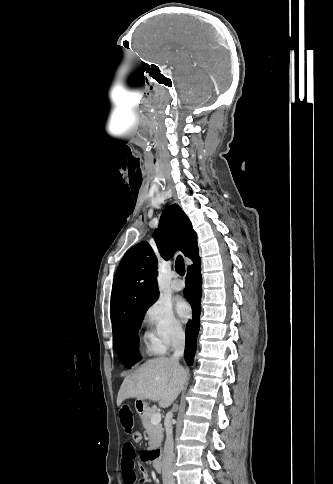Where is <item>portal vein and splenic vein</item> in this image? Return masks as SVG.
<instances>
[{
  "mask_svg": "<svg viewBox=\"0 0 333 484\" xmlns=\"http://www.w3.org/2000/svg\"><path fill=\"white\" fill-rule=\"evenodd\" d=\"M161 421V414L160 413H155L151 417V424L156 425L160 423Z\"/></svg>",
  "mask_w": 333,
  "mask_h": 484,
  "instance_id": "18ae733b",
  "label": "portal vein and splenic vein"
}]
</instances>
